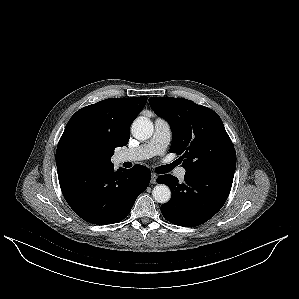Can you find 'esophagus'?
Masks as SVG:
<instances>
[{"instance_id": "1", "label": "esophagus", "mask_w": 299, "mask_h": 299, "mask_svg": "<svg viewBox=\"0 0 299 299\" xmlns=\"http://www.w3.org/2000/svg\"><path fill=\"white\" fill-rule=\"evenodd\" d=\"M157 179V175L155 173H151V183L155 184Z\"/></svg>"}]
</instances>
